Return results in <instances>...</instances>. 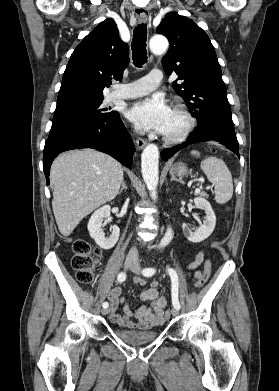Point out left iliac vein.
<instances>
[{
	"instance_id": "obj_1",
	"label": "left iliac vein",
	"mask_w": 279,
	"mask_h": 391,
	"mask_svg": "<svg viewBox=\"0 0 279 391\" xmlns=\"http://www.w3.org/2000/svg\"><path fill=\"white\" fill-rule=\"evenodd\" d=\"M131 270L135 274L140 275L141 274L140 264L136 261L135 264L131 267ZM171 313H172V316L176 317L179 315V310L177 308H173Z\"/></svg>"
}]
</instances>
